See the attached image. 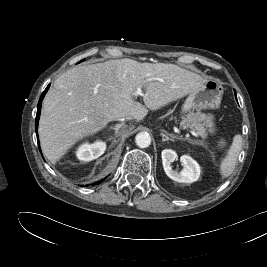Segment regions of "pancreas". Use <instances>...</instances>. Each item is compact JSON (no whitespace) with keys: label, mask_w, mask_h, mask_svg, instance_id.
Returning a JSON list of instances; mask_svg holds the SVG:
<instances>
[{"label":"pancreas","mask_w":267,"mask_h":267,"mask_svg":"<svg viewBox=\"0 0 267 267\" xmlns=\"http://www.w3.org/2000/svg\"><path fill=\"white\" fill-rule=\"evenodd\" d=\"M182 126H188L191 130L196 132L198 135L202 137H206V129L204 125L201 123L198 113H190L180 123Z\"/></svg>","instance_id":"pancreas-1"}]
</instances>
